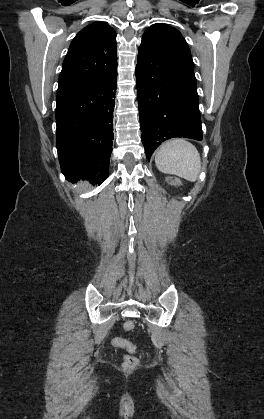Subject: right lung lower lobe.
Wrapping results in <instances>:
<instances>
[{"label": "right lung lower lobe", "instance_id": "obj_1", "mask_svg": "<svg viewBox=\"0 0 264 419\" xmlns=\"http://www.w3.org/2000/svg\"><path fill=\"white\" fill-rule=\"evenodd\" d=\"M117 72L85 87L57 92V151L70 182L101 184L109 175Z\"/></svg>", "mask_w": 264, "mask_h": 419}]
</instances>
